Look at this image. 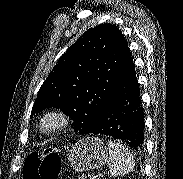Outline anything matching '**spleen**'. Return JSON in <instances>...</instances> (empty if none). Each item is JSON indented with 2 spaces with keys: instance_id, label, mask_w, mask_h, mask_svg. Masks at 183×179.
<instances>
[{
  "instance_id": "3e777b00",
  "label": "spleen",
  "mask_w": 183,
  "mask_h": 179,
  "mask_svg": "<svg viewBox=\"0 0 183 179\" xmlns=\"http://www.w3.org/2000/svg\"><path fill=\"white\" fill-rule=\"evenodd\" d=\"M107 146L109 150L107 164L112 177L123 176L134 169V157L125 146L112 140L107 142Z\"/></svg>"
}]
</instances>
